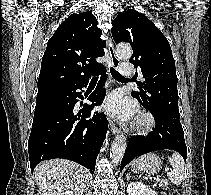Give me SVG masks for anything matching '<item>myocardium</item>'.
<instances>
[{
    "label": "myocardium",
    "instance_id": "1",
    "mask_svg": "<svg viewBox=\"0 0 211 195\" xmlns=\"http://www.w3.org/2000/svg\"><path fill=\"white\" fill-rule=\"evenodd\" d=\"M155 126L156 119L150 112L139 113L133 123V129L140 134L151 132Z\"/></svg>",
    "mask_w": 211,
    "mask_h": 195
}]
</instances>
